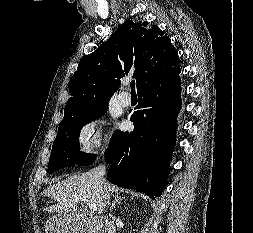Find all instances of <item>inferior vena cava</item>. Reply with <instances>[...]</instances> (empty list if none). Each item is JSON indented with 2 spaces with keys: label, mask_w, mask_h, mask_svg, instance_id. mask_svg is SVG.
Returning <instances> with one entry per match:
<instances>
[{
  "label": "inferior vena cava",
  "mask_w": 253,
  "mask_h": 233,
  "mask_svg": "<svg viewBox=\"0 0 253 233\" xmlns=\"http://www.w3.org/2000/svg\"><path fill=\"white\" fill-rule=\"evenodd\" d=\"M105 172H106V168H105V164L103 162H102V164L100 163L96 168H94L92 170V174H93L95 180L98 183H100L101 185H103L104 190H107V187L104 185V175H105ZM110 198H111V194L109 192H107V195H106V205H109ZM108 230H109L108 233H110V231H112L111 224H108Z\"/></svg>",
  "instance_id": "obj_1"
}]
</instances>
